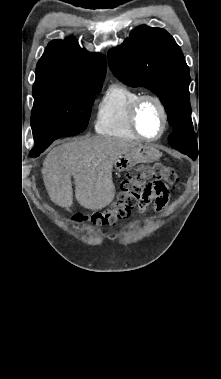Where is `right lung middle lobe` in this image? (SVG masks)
Instances as JSON below:
<instances>
[{
    "label": "right lung middle lobe",
    "mask_w": 221,
    "mask_h": 379,
    "mask_svg": "<svg viewBox=\"0 0 221 379\" xmlns=\"http://www.w3.org/2000/svg\"><path fill=\"white\" fill-rule=\"evenodd\" d=\"M102 86L46 93L34 97L31 127L33 149L47 148L55 139L87 128L94 96Z\"/></svg>",
    "instance_id": "1"
}]
</instances>
